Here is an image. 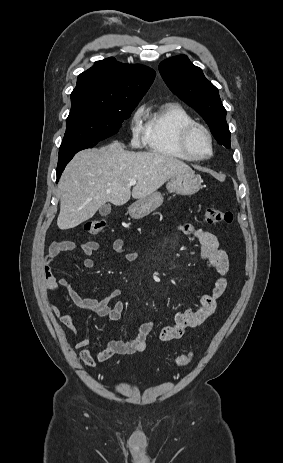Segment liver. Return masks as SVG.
Instances as JSON below:
<instances>
[{
    "instance_id": "6515ba94",
    "label": "liver",
    "mask_w": 283,
    "mask_h": 463,
    "mask_svg": "<svg viewBox=\"0 0 283 463\" xmlns=\"http://www.w3.org/2000/svg\"><path fill=\"white\" fill-rule=\"evenodd\" d=\"M192 168L179 159L157 152H131L120 142L78 152L59 181L61 230L92 218L106 202L121 206L154 193L169 179ZM131 179L137 181L132 192Z\"/></svg>"
}]
</instances>
